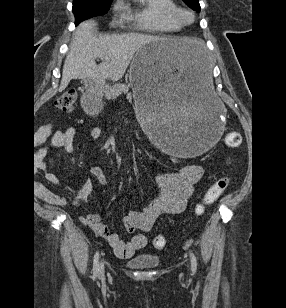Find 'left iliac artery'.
Instances as JSON below:
<instances>
[{"label":"left iliac artery","mask_w":286,"mask_h":308,"mask_svg":"<svg viewBox=\"0 0 286 308\" xmlns=\"http://www.w3.org/2000/svg\"><path fill=\"white\" fill-rule=\"evenodd\" d=\"M190 259L192 271L195 272L197 269V259L192 251H190Z\"/></svg>","instance_id":"1"}]
</instances>
